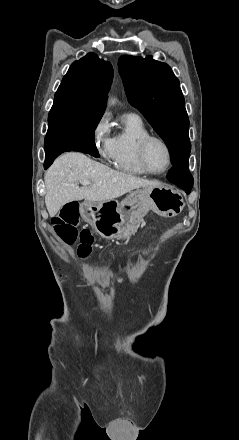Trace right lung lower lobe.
<instances>
[{
    "mask_svg": "<svg viewBox=\"0 0 239 440\" xmlns=\"http://www.w3.org/2000/svg\"><path fill=\"white\" fill-rule=\"evenodd\" d=\"M66 151H79V152L90 154L96 158L99 157V153H98V150L95 145H75V146H71L66 149L57 151V152L52 153L50 155H46L44 168L47 169L58 155H60L63 152H66Z\"/></svg>",
    "mask_w": 239,
    "mask_h": 440,
    "instance_id": "1",
    "label": "right lung lower lobe"
}]
</instances>
